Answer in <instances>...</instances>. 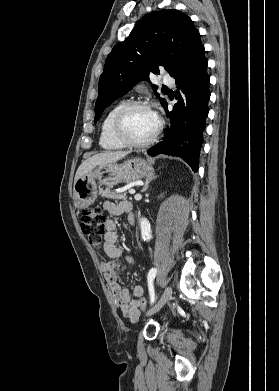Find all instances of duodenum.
Listing matches in <instances>:
<instances>
[{"label": "duodenum", "mask_w": 279, "mask_h": 391, "mask_svg": "<svg viewBox=\"0 0 279 391\" xmlns=\"http://www.w3.org/2000/svg\"><path fill=\"white\" fill-rule=\"evenodd\" d=\"M131 210V207L128 209V211ZM129 221L131 223L132 226H135L136 225V221H135V218L132 214L129 215Z\"/></svg>", "instance_id": "1"}]
</instances>
